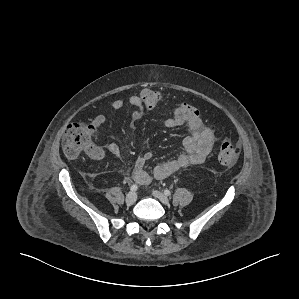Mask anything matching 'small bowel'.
<instances>
[{
    "label": "small bowel",
    "mask_w": 299,
    "mask_h": 299,
    "mask_svg": "<svg viewBox=\"0 0 299 299\" xmlns=\"http://www.w3.org/2000/svg\"><path fill=\"white\" fill-rule=\"evenodd\" d=\"M126 105L131 107V118L133 121L141 119L146 112H149L144 107L139 94L131 95L127 101L121 99L114 100L109 104V108L111 110H119ZM155 113L164 118V125L167 128H176L179 126L170 117H167L165 112L158 111ZM105 121V114H98L92 120L91 126L94 129L99 128ZM186 126L188 134L182 141L184 151L176 159L157 165L153 170V177L155 179H164L180 169L201 164L210 153L215 141L214 131L206 126L200 117L191 121ZM106 153L118 156L120 154V148L117 144L111 143L108 145L106 151L95 148L90 152V155L95 159H101ZM152 157V153L147 152L136 159L132 177L138 184L144 185L150 182L151 177L145 167L147 163L151 161Z\"/></svg>",
    "instance_id": "1"
}]
</instances>
